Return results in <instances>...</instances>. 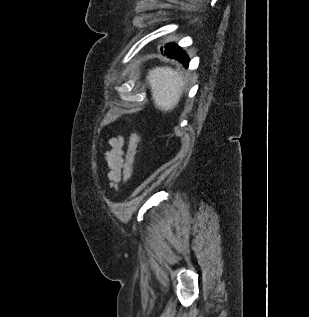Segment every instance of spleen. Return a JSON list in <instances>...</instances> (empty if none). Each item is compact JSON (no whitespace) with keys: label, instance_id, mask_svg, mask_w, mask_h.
<instances>
[{"label":"spleen","instance_id":"obj_1","mask_svg":"<svg viewBox=\"0 0 309 317\" xmlns=\"http://www.w3.org/2000/svg\"><path fill=\"white\" fill-rule=\"evenodd\" d=\"M147 79L155 106L165 112L174 109L185 87L181 73L170 67H156L149 71Z\"/></svg>","mask_w":309,"mask_h":317}]
</instances>
